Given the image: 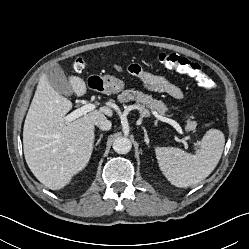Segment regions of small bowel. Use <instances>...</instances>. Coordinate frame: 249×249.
Returning <instances> with one entry per match:
<instances>
[{"mask_svg": "<svg viewBox=\"0 0 249 249\" xmlns=\"http://www.w3.org/2000/svg\"><path fill=\"white\" fill-rule=\"evenodd\" d=\"M128 71L136 76L146 89L152 92L166 93L178 100H181L184 97L181 89L163 76L153 74L152 72L141 68L139 65L129 66Z\"/></svg>", "mask_w": 249, "mask_h": 249, "instance_id": "1", "label": "small bowel"}]
</instances>
